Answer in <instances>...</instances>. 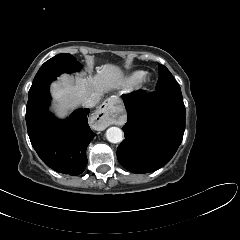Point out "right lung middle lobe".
Masks as SVG:
<instances>
[{
	"mask_svg": "<svg viewBox=\"0 0 240 240\" xmlns=\"http://www.w3.org/2000/svg\"><path fill=\"white\" fill-rule=\"evenodd\" d=\"M80 64L70 54H58L46 61L36 74L29 93L48 80H54L61 73H71L80 69Z\"/></svg>",
	"mask_w": 240,
	"mask_h": 240,
	"instance_id": "right-lung-middle-lobe-1",
	"label": "right lung middle lobe"
}]
</instances>
